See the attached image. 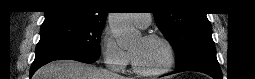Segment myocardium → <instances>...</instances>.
I'll list each match as a JSON object with an SVG mask.
<instances>
[{
    "label": "myocardium",
    "instance_id": "1",
    "mask_svg": "<svg viewBox=\"0 0 255 79\" xmlns=\"http://www.w3.org/2000/svg\"><path fill=\"white\" fill-rule=\"evenodd\" d=\"M143 39H145V40H159L162 43H164V45L166 46V49H167V60H166L165 64L160 69H157L154 71H146V70L141 69L138 66L133 54L130 53L131 64H132L134 71L138 75L146 76V77L158 76V75L166 73L172 67V65L174 64V61H175V51H174V48H173V45L171 44V42L165 36L160 35V34H155V33L147 34L143 37Z\"/></svg>",
    "mask_w": 255,
    "mask_h": 79
}]
</instances>
